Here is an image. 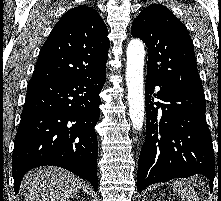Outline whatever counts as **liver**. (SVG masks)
<instances>
[{"instance_id":"liver-1","label":"liver","mask_w":221,"mask_h":201,"mask_svg":"<svg viewBox=\"0 0 221 201\" xmlns=\"http://www.w3.org/2000/svg\"><path fill=\"white\" fill-rule=\"evenodd\" d=\"M84 186L74 174L58 167H44L23 179L24 201H66Z\"/></svg>"}]
</instances>
